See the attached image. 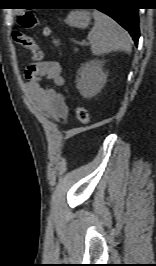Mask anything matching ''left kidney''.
<instances>
[{
	"label": "left kidney",
	"mask_w": 156,
	"mask_h": 266,
	"mask_svg": "<svg viewBox=\"0 0 156 266\" xmlns=\"http://www.w3.org/2000/svg\"><path fill=\"white\" fill-rule=\"evenodd\" d=\"M80 78L76 87L84 98L94 97L104 87L107 74L103 71V62L92 60L79 69Z\"/></svg>",
	"instance_id": "5707ae66"
}]
</instances>
